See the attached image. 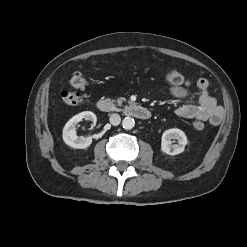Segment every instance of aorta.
<instances>
[{"mask_svg":"<svg viewBox=\"0 0 247 247\" xmlns=\"http://www.w3.org/2000/svg\"><path fill=\"white\" fill-rule=\"evenodd\" d=\"M135 125V121L133 118L131 117H125L122 121V126L124 129L126 130H130L134 127Z\"/></svg>","mask_w":247,"mask_h":247,"instance_id":"aorta-1","label":"aorta"}]
</instances>
